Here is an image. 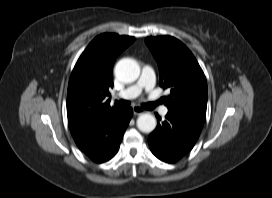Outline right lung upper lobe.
<instances>
[{
    "label": "right lung upper lobe",
    "instance_id": "1",
    "mask_svg": "<svg viewBox=\"0 0 272 198\" xmlns=\"http://www.w3.org/2000/svg\"><path fill=\"white\" fill-rule=\"evenodd\" d=\"M134 37L103 33L97 36L79 57L70 76L67 91L68 123L77 138L101 122L110 112L109 88L113 87L112 69L117 56Z\"/></svg>",
    "mask_w": 272,
    "mask_h": 198
}]
</instances>
